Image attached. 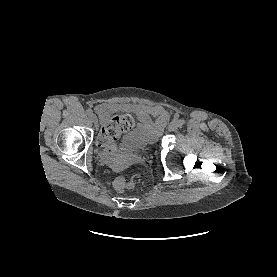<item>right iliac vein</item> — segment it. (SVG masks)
<instances>
[{
    "label": "right iliac vein",
    "instance_id": "63e3f726",
    "mask_svg": "<svg viewBox=\"0 0 277 277\" xmlns=\"http://www.w3.org/2000/svg\"><path fill=\"white\" fill-rule=\"evenodd\" d=\"M91 120H92V122L94 123V125L97 126V124H98V119H97L96 115H92V116H91Z\"/></svg>",
    "mask_w": 277,
    "mask_h": 277
}]
</instances>
